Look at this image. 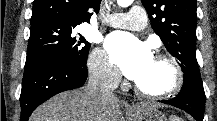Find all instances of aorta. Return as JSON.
Masks as SVG:
<instances>
[{
    "label": "aorta",
    "instance_id": "762f6f07",
    "mask_svg": "<svg viewBox=\"0 0 217 121\" xmlns=\"http://www.w3.org/2000/svg\"><path fill=\"white\" fill-rule=\"evenodd\" d=\"M133 0H117V3L120 7H127L131 5Z\"/></svg>",
    "mask_w": 217,
    "mask_h": 121
}]
</instances>
